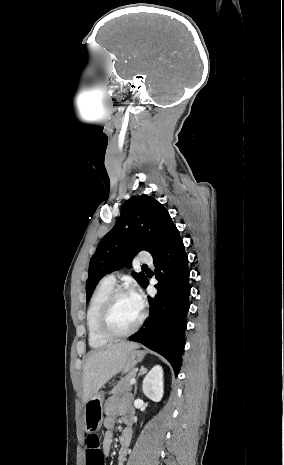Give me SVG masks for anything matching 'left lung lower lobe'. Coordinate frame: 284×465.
<instances>
[{"mask_svg":"<svg viewBox=\"0 0 284 465\" xmlns=\"http://www.w3.org/2000/svg\"><path fill=\"white\" fill-rule=\"evenodd\" d=\"M155 278V298L148 297L150 316L145 327L130 337V341L142 343L164 356L172 365L177 376L182 364L185 347L184 334L189 311V268L188 256L182 238L176 230L165 247L153 256ZM145 278L142 287L146 288Z\"/></svg>","mask_w":284,"mask_h":465,"instance_id":"0a47b994","label":"left lung lower lobe"}]
</instances>
